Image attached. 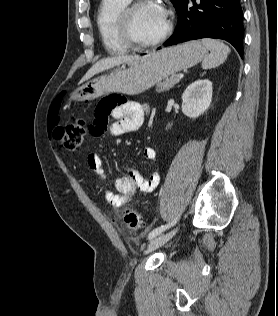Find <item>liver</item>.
Listing matches in <instances>:
<instances>
[{"mask_svg":"<svg viewBox=\"0 0 278 316\" xmlns=\"http://www.w3.org/2000/svg\"><path fill=\"white\" fill-rule=\"evenodd\" d=\"M140 58L141 57L139 55H123L101 59L88 70V72L81 79L80 83L87 81L88 79L102 71L108 70L124 63L136 61Z\"/></svg>","mask_w":278,"mask_h":316,"instance_id":"obj_1","label":"liver"}]
</instances>
